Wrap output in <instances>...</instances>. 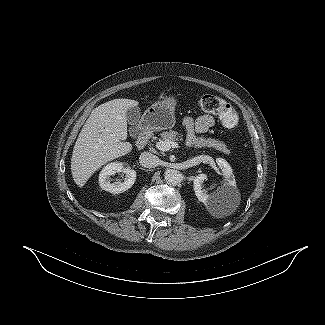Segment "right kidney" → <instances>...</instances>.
<instances>
[{
  "label": "right kidney",
  "mask_w": 325,
  "mask_h": 325,
  "mask_svg": "<svg viewBox=\"0 0 325 325\" xmlns=\"http://www.w3.org/2000/svg\"><path fill=\"white\" fill-rule=\"evenodd\" d=\"M116 173H124V182H110V176ZM136 180V172L130 166H126L120 162H112L107 164L99 174L100 187L108 192L118 194L122 193L132 187Z\"/></svg>",
  "instance_id": "ca27d5eb"
}]
</instances>
